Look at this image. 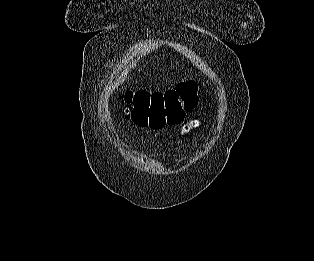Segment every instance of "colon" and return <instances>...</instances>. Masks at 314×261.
Masks as SVG:
<instances>
[{
  "instance_id": "colon-1",
  "label": "colon",
  "mask_w": 314,
  "mask_h": 261,
  "mask_svg": "<svg viewBox=\"0 0 314 261\" xmlns=\"http://www.w3.org/2000/svg\"><path fill=\"white\" fill-rule=\"evenodd\" d=\"M197 92L194 81H184L176 89L166 92H127L124 94V102L129 106L128 114L134 124L161 129L181 123L186 114L197 108Z\"/></svg>"
}]
</instances>
